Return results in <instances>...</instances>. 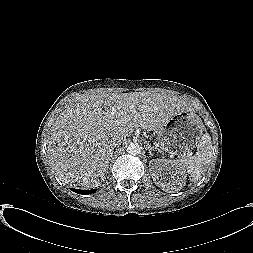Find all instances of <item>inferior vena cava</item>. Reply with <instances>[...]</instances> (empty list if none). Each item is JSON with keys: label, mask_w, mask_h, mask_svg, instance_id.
Returning <instances> with one entry per match:
<instances>
[{"label": "inferior vena cava", "mask_w": 253, "mask_h": 253, "mask_svg": "<svg viewBox=\"0 0 253 253\" xmlns=\"http://www.w3.org/2000/svg\"><path fill=\"white\" fill-rule=\"evenodd\" d=\"M112 145H113L114 147H119V146L121 145V140H120L119 138H114V139L112 140Z\"/></svg>", "instance_id": "obj_1"}]
</instances>
